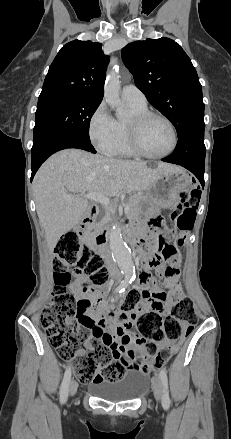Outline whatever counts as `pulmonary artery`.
<instances>
[{
	"instance_id": "obj_1",
	"label": "pulmonary artery",
	"mask_w": 231,
	"mask_h": 439,
	"mask_svg": "<svg viewBox=\"0 0 231 439\" xmlns=\"http://www.w3.org/2000/svg\"><path fill=\"white\" fill-rule=\"evenodd\" d=\"M122 95L127 102L138 105H146L147 99L144 93L134 84L125 85L122 89Z\"/></svg>"
}]
</instances>
